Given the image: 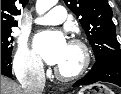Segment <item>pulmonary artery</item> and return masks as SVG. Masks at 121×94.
Segmentation results:
<instances>
[{"instance_id":"obj_1","label":"pulmonary artery","mask_w":121,"mask_h":94,"mask_svg":"<svg viewBox=\"0 0 121 94\" xmlns=\"http://www.w3.org/2000/svg\"><path fill=\"white\" fill-rule=\"evenodd\" d=\"M66 17V9L62 6H55L49 13L35 19L34 22L36 24L57 25L63 23Z\"/></svg>"}]
</instances>
